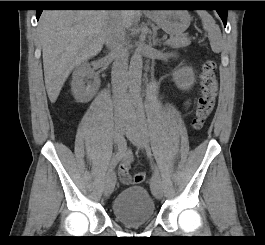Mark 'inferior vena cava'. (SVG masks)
<instances>
[{
    "label": "inferior vena cava",
    "mask_w": 265,
    "mask_h": 245,
    "mask_svg": "<svg viewBox=\"0 0 265 245\" xmlns=\"http://www.w3.org/2000/svg\"><path fill=\"white\" fill-rule=\"evenodd\" d=\"M105 44L109 49V56L114 60L111 76L115 114L121 116L130 110V102L127 95L128 52L125 48V26L120 12H115L108 22Z\"/></svg>",
    "instance_id": "obj_1"
}]
</instances>
